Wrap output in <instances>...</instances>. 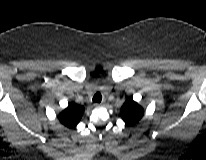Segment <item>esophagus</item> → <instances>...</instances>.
<instances>
[{
	"label": "esophagus",
	"mask_w": 206,
	"mask_h": 160,
	"mask_svg": "<svg viewBox=\"0 0 206 160\" xmlns=\"http://www.w3.org/2000/svg\"><path fill=\"white\" fill-rule=\"evenodd\" d=\"M105 104V101H102L101 103H97L96 105H101L103 106Z\"/></svg>",
	"instance_id": "1"
}]
</instances>
